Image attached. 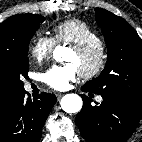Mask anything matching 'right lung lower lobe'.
<instances>
[{
	"label": "right lung lower lobe",
	"mask_w": 142,
	"mask_h": 142,
	"mask_svg": "<svg viewBox=\"0 0 142 142\" xmlns=\"http://www.w3.org/2000/svg\"><path fill=\"white\" fill-rule=\"evenodd\" d=\"M18 93L0 116V142H38L56 96L41 93L34 100Z\"/></svg>",
	"instance_id": "1"
}]
</instances>
